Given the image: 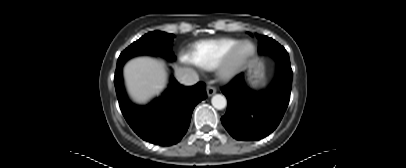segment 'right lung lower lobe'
<instances>
[{"mask_svg":"<svg viewBox=\"0 0 406 168\" xmlns=\"http://www.w3.org/2000/svg\"><path fill=\"white\" fill-rule=\"evenodd\" d=\"M122 67L116 68L114 85L120 109L130 127L147 142L162 146L178 143L187 132L194 107L207 97L205 84L185 87L171 76L159 97L138 105L125 91Z\"/></svg>","mask_w":406,"mask_h":168,"instance_id":"98d812e1","label":"right lung lower lobe"}]
</instances>
